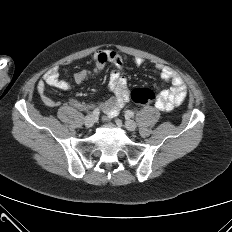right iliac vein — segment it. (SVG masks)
<instances>
[{"instance_id":"right-iliac-vein-1","label":"right iliac vein","mask_w":232,"mask_h":232,"mask_svg":"<svg viewBox=\"0 0 232 232\" xmlns=\"http://www.w3.org/2000/svg\"><path fill=\"white\" fill-rule=\"evenodd\" d=\"M94 123H95V117H93L92 115H88L84 118V124L87 128L92 127Z\"/></svg>"}]
</instances>
